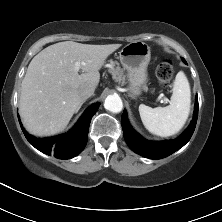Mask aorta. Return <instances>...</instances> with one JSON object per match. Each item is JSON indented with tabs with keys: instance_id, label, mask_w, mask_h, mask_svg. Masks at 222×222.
<instances>
[{
	"instance_id": "1",
	"label": "aorta",
	"mask_w": 222,
	"mask_h": 222,
	"mask_svg": "<svg viewBox=\"0 0 222 222\" xmlns=\"http://www.w3.org/2000/svg\"><path fill=\"white\" fill-rule=\"evenodd\" d=\"M104 107L110 112L119 113L123 109V102L118 95H109L105 99Z\"/></svg>"
}]
</instances>
